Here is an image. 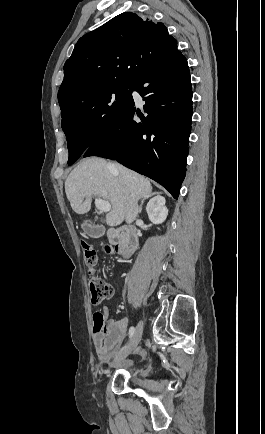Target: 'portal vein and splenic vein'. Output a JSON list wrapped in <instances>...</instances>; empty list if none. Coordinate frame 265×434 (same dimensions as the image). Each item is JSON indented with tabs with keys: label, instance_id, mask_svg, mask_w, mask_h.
Here are the masks:
<instances>
[{
	"label": "portal vein and splenic vein",
	"instance_id": "portal-vein-and-splenic-vein-1",
	"mask_svg": "<svg viewBox=\"0 0 265 434\" xmlns=\"http://www.w3.org/2000/svg\"><path fill=\"white\" fill-rule=\"evenodd\" d=\"M95 206L97 210H101V212H110L111 210V204L109 202H106V200H95Z\"/></svg>",
	"mask_w": 265,
	"mask_h": 434
}]
</instances>
